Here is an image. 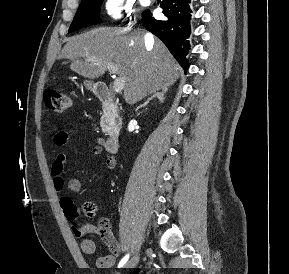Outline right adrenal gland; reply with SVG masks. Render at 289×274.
I'll return each mask as SVG.
<instances>
[{
	"instance_id": "obj_1",
	"label": "right adrenal gland",
	"mask_w": 289,
	"mask_h": 274,
	"mask_svg": "<svg viewBox=\"0 0 289 274\" xmlns=\"http://www.w3.org/2000/svg\"><path fill=\"white\" fill-rule=\"evenodd\" d=\"M167 91H168V88H164V89H162V91L154 93L150 98H148L146 100L145 103H143L142 105L138 106L136 110L138 111L140 108L145 107L154 98H157L160 101V103H164L165 94L167 93Z\"/></svg>"
}]
</instances>
